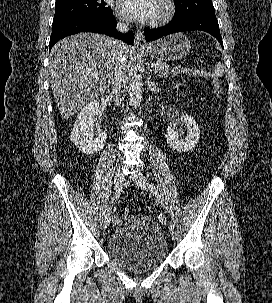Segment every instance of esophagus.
Here are the masks:
<instances>
[{
  "instance_id": "esophagus-1",
  "label": "esophagus",
  "mask_w": 272,
  "mask_h": 303,
  "mask_svg": "<svg viewBox=\"0 0 272 303\" xmlns=\"http://www.w3.org/2000/svg\"><path fill=\"white\" fill-rule=\"evenodd\" d=\"M134 45L139 48V47H146V41L143 35V32L141 30H137L135 33V40H134Z\"/></svg>"
}]
</instances>
